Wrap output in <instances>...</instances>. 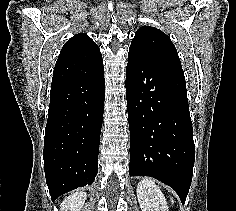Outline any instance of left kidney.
<instances>
[{
	"instance_id": "left-kidney-1",
	"label": "left kidney",
	"mask_w": 236,
	"mask_h": 211,
	"mask_svg": "<svg viewBox=\"0 0 236 211\" xmlns=\"http://www.w3.org/2000/svg\"><path fill=\"white\" fill-rule=\"evenodd\" d=\"M136 192L142 211H168L163 193L152 180H141L137 185Z\"/></svg>"
}]
</instances>
